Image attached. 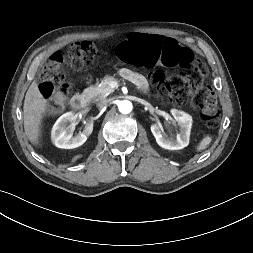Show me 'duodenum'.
I'll list each match as a JSON object with an SVG mask.
<instances>
[{
	"mask_svg": "<svg viewBox=\"0 0 253 253\" xmlns=\"http://www.w3.org/2000/svg\"><path fill=\"white\" fill-rule=\"evenodd\" d=\"M90 96L88 94H75L71 99V107L75 110H81L88 106Z\"/></svg>",
	"mask_w": 253,
	"mask_h": 253,
	"instance_id": "410a0bca",
	"label": "duodenum"
}]
</instances>
